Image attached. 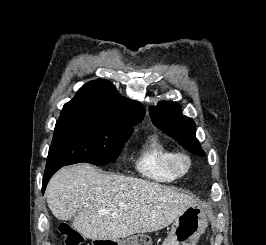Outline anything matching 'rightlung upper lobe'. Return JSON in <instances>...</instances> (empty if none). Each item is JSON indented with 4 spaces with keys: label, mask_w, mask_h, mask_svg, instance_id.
<instances>
[{
    "label": "right lung upper lobe",
    "mask_w": 266,
    "mask_h": 245,
    "mask_svg": "<svg viewBox=\"0 0 266 245\" xmlns=\"http://www.w3.org/2000/svg\"><path fill=\"white\" fill-rule=\"evenodd\" d=\"M92 114L125 124H138L144 117L142 104L117 95L114 85L107 80H95L80 88L66 103L61 116Z\"/></svg>",
    "instance_id": "1"
}]
</instances>
